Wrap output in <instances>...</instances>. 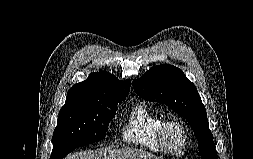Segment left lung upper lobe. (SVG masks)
Here are the masks:
<instances>
[{
    "mask_svg": "<svg viewBox=\"0 0 253 159\" xmlns=\"http://www.w3.org/2000/svg\"><path fill=\"white\" fill-rule=\"evenodd\" d=\"M134 91L146 101L160 102L185 118L193 129L201 159H218L207 113L195 85L169 64L153 66L133 80Z\"/></svg>",
    "mask_w": 253,
    "mask_h": 159,
    "instance_id": "1",
    "label": "left lung upper lobe"
}]
</instances>
